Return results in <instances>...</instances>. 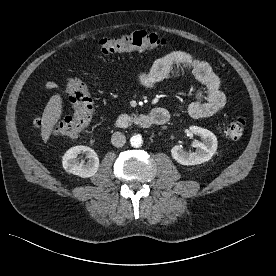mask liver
<instances>
[{"mask_svg":"<svg viewBox=\"0 0 276 276\" xmlns=\"http://www.w3.org/2000/svg\"><path fill=\"white\" fill-rule=\"evenodd\" d=\"M62 115V98L60 94L53 95L45 106L42 115L41 124V136L43 142L46 143L53 131V127L56 125Z\"/></svg>","mask_w":276,"mask_h":276,"instance_id":"obj_1","label":"liver"}]
</instances>
